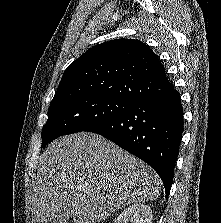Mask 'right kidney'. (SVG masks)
<instances>
[{
	"label": "right kidney",
	"mask_w": 221,
	"mask_h": 223,
	"mask_svg": "<svg viewBox=\"0 0 221 223\" xmlns=\"http://www.w3.org/2000/svg\"><path fill=\"white\" fill-rule=\"evenodd\" d=\"M152 209L141 203H134L124 209L115 223H152Z\"/></svg>",
	"instance_id": "ca27d5eb"
}]
</instances>
